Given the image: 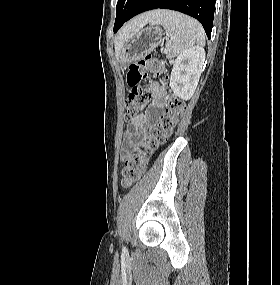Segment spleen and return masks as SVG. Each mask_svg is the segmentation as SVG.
Listing matches in <instances>:
<instances>
[{
  "label": "spleen",
  "instance_id": "3e777b00",
  "mask_svg": "<svg viewBox=\"0 0 280 285\" xmlns=\"http://www.w3.org/2000/svg\"><path fill=\"white\" fill-rule=\"evenodd\" d=\"M150 24L161 25L166 34L165 51L168 58L175 57L195 44L203 46L205 33L195 19L175 11L157 10Z\"/></svg>",
  "mask_w": 280,
  "mask_h": 285
}]
</instances>
